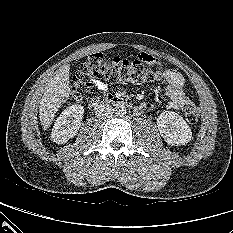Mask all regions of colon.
Wrapping results in <instances>:
<instances>
[{"label":"colon","mask_w":233,"mask_h":233,"mask_svg":"<svg viewBox=\"0 0 233 233\" xmlns=\"http://www.w3.org/2000/svg\"><path fill=\"white\" fill-rule=\"evenodd\" d=\"M142 58L129 61L119 57H108L103 53H94L80 64L71 81L70 99L81 102L93 91V80L103 78L112 83L143 84L161 77L159 71L145 65ZM187 122L195 124L199 120L200 111L194 103H188L184 109Z\"/></svg>","instance_id":"1"}]
</instances>
